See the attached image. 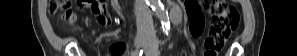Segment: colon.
<instances>
[{"label": "colon", "instance_id": "colon-1", "mask_svg": "<svg viewBox=\"0 0 297 56\" xmlns=\"http://www.w3.org/2000/svg\"><path fill=\"white\" fill-rule=\"evenodd\" d=\"M71 1H51L50 12L60 14L62 18L71 22L76 20V15L72 11ZM81 7L88 6L92 14L101 23L108 22L105 16L106 5L102 0H79ZM206 6L211 15V27L205 40L204 56H217L225 45V42L239 25V12L236 7L224 0H207ZM201 10V9H200Z\"/></svg>", "mask_w": 297, "mask_h": 56}]
</instances>
